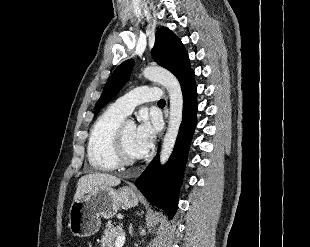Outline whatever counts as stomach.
Here are the masks:
<instances>
[{
  "mask_svg": "<svg viewBox=\"0 0 310 247\" xmlns=\"http://www.w3.org/2000/svg\"><path fill=\"white\" fill-rule=\"evenodd\" d=\"M138 202V194L129 187L118 190L109 186L98 187L72 202L68 227L74 236H92L100 229L102 217L110 219L120 207L129 209L137 206Z\"/></svg>",
  "mask_w": 310,
  "mask_h": 247,
  "instance_id": "0dacf381",
  "label": "stomach"
}]
</instances>
